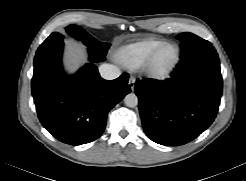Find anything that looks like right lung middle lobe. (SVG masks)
<instances>
[{
	"instance_id": "1",
	"label": "right lung middle lobe",
	"mask_w": 246,
	"mask_h": 181,
	"mask_svg": "<svg viewBox=\"0 0 246 181\" xmlns=\"http://www.w3.org/2000/svg\"><path fill=\"white\" fill-rule=\"evenodd\" d=\"M66 32L82 41L87 47H88V51L90 54H93L101 59H104L107 50L110 47L109 43H103L100 42L98 40H96L95 38H93L92 36H90L84 29H82L81 27L77 26V25H69L65 28ZM64 38L63 35H61L58 32H54L52 33L38 48L37 52H41L43 50H45L46 48L50 47L51 45L62 41Z\"/></svg>"
}]
</instances>
